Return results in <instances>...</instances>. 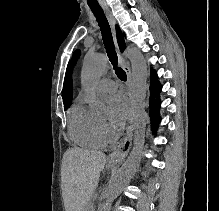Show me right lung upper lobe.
<instances>
[{"instance_id": "right-lung-upper-lobe-1", "label": "right lung upper lobe", "mask_w": 219, "mask_h": 211, "mask_svg": "<svg viewBox=\"0 0 219 211\" xmlns=\"http://www.w3.org/2000/svg\"><path fill=\"white\" fill-rule=\"evenodd\" d=\"M116 31H117V40H118L119 47L121 51H123L125 48V41L118 26H116ZM62 95H63L64 106L70 105L72 101V83H71L69 66L67 67V70H66Z\"/></svg>"}]
</instances>
